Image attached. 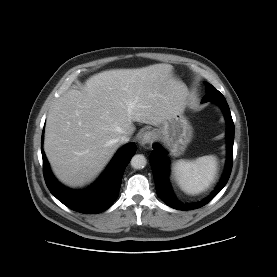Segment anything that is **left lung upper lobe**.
Returning a JSON list of instances; mask_svg holds the SVG:
<instances>
[{
    "mask_svg": "<svg viewBox=\"0 0 277 277\" xmlns=\"http://www.w3.org/2000/svg\"><path fill=\"white\" fill-rule=\"evenodd\" d=\"M206 95L203 97L202 101H213L217 102L219 100H225L224 96L211 84L205 82Z\"/></svg>",
    "mask_w": 277,
    "mask_h": 277,
    "instance_id": "1",
    "label": "left lung upper lobe"
}]
</instances>
